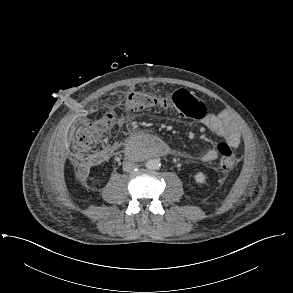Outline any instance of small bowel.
Returning <instances> with one entry per match:
<instances>
[{"label": "small bowel", "instance_id": "obj_1", "mask_svg": "<svg viewBox=\"0 0 293 293\" xmlns=\"http://www.w3.org/2000/svg\"><path fill=\"white\" fill-rule=\"evenodd\" d=\"M196 108L195 114L200 119L201 125L207 130L222 137L231 147H238L241 142L240 133L234 121L227 117H219L215 114L208 113L205 105ZM218 158L215 149H208L200 155L203 162H211Z\"/></svg>", "mask_w": 293, "mask_h": 293}]
</instances>
